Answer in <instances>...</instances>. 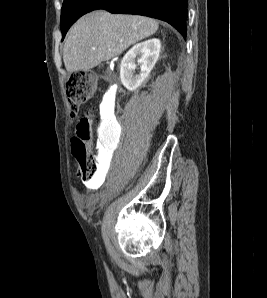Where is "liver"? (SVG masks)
Returning a JSON list of instances; mask_svg holds the SVG:
<instances>
[{"label":"liver","instance_id":"liver-1","mask_svg":"<svg viewBox=\"0 0 267 298\" xmlns=\"http://www.w3.org/2000/svg\"><path fill=\"white\" fill-rule=\"evenodd\" d=\"M154 19L97 10L82 16L71 28L63 49L68 72L88 71L136 42L153 35Z\"/></svg>","mask_w":267,"mask_h":298}]
</instances>
